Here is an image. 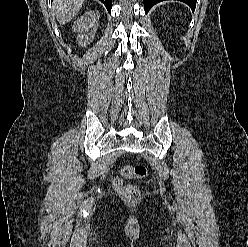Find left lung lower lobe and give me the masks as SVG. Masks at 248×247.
<instances>
[{"instance_id":"0a47b994","label":"left lung lower lobe","mask_w":248,"mask_h":247,"mask_svg":"<svg viewBox=\"0 0 248 247\" xmlns=\"http://www.w3.org/2000/svg\"><path fill=\"white\" fill-rule=\"evenodd\" d=\"M143 1H144V9H145V12L147 13L153 5L161 1H164V0H143ZM179 1L186 3L187 5L190 6L192 10H194L197 0H179Z\"/></svg>"}]
</instances>
